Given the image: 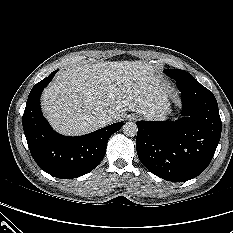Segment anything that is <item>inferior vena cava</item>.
<instances>
[{
	"instance_id": "obj_1",
	"label": "inferior vena cava",
	"mask_w": 233,
	"mask_h": 233,
	"mask_svg": "<svg viewBox=\"0 0 233 233\" xmlns=\"http://www.w3.org/2000/svg\"><path fill=\"white\" fill-rule=\"evenodd\" d=\"M112 121L111 117L108 115H102L97 119V122L100 123L103 126H106L108 124H110Z\"/></svg>"
}]
</instances>
